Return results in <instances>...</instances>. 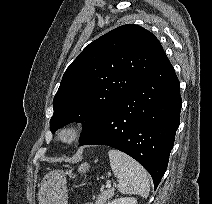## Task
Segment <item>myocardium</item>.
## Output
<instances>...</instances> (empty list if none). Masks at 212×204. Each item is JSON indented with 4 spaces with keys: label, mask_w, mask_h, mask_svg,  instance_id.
Segmentation results:
<instances>
[{
    "label": "myocardium",
    "mask_w": 212,
    "mask_h": 204,
    "mask_svg": "<svg viewBox=\"0 0 212 204\" xmlns=\"http://www.w3.org/2000/svg\"><path fill=\"white\" fill-rule=\"evenodd\" d=\"M79 129L75 125H66L57 131L58 142L64 145L73 144L79 137Z\"/></svg>",
    "instance_id": "obj_1"
}]
</instances>
